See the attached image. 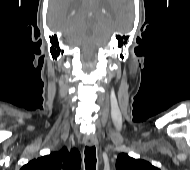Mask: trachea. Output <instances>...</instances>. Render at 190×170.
Instances as JSON below:
<instances>
[{"instance_id": "trachea-1", "label": "trachea", "mask_w": 190, "mask_h": 170, "mask_svg": "<svg viewBox=\"0 0 190 170\" xmlns=\"http://www.w3.org/2000/svg\"><path fill=\"white\" fill-rule=\"evenodd\" d=\"M96 149L94 146L85 148V168L86 170L96 169Z\"/></svg>"}]
</instances>
